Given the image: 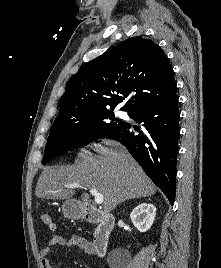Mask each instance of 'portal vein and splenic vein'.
Masks as SVG:
<instances>
[{
	"instance_id": "obj_1",
	"label": "portal vein and splenic vein",
	"mask_w": 221,
	"mask_h": 268,
	"mask_svg": "<svg viewBox=\"0 0 221 268\" xmlns=\"http://www.w3.org/2000/svg\"><path fill=\"white\" fill-rule=\"evenodd\" d=\"M66 188H79L81 187L80 184L78 183H73V184H67L65 185ZM91 195L94 196L95 203L97 204H102L104 201V196L98 192L97 189H90Z\"/></svg>"
}]
</instances>
